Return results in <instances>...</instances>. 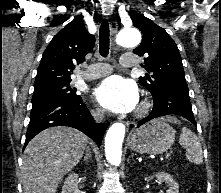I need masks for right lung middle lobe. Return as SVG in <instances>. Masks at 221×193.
<instances>
[{
    "mask_svg": "<svg viewBox=\"0 0 221 193\" xmlns=\"http://www.w3.org/2000/svg\"><path fill=\"white\" fill-rule=\"evenodd\" d=\"M70 82H55L34 86L32 104L53 99L76 100L80 98L75 93L76 89L70 87Z\"/></svg>",
    "mask_w": 221,
    "mask_h": 193,
    "instance_id": "dd1d6c3e",
    "label": "right lung middle lobe"
}]
</instances>
